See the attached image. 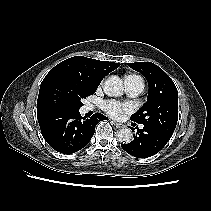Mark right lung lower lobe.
Segmentation results:
<instances>
[{
	"mask_svg": "<svg viewBox=\"0 0 211 211\" xmlns=\"http://www.w3.org/2000/svg\"><path fill=\"white\" fill-rule=\"evenodd\" d=\"M42 136L56 151L72 154L91 140L95 126L106 116L96 113L90 119L82 118L79 110H55L37 115Z\"/></svg>",
	"mask_w": 211,
	"mask_h": 211,
	"instance_id": "98d812e1",
	"label": "right lung lower lobe"
}]
</instances>
